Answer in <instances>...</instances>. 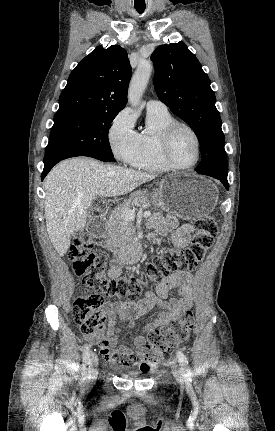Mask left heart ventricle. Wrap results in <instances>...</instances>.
Instances as JSON below:
<instances>
[{
	"instance_id": "obj_1",
	"label": "left heart ventricle",
	"mask_w": 275,
	"mask_h": 431,
	"mask_svg": "<svg viewBox=\"0 0 275 431\" xmlns=\"http://www.w3.org/2000/svg\"><path fill=\"white\" fill-rule=\"evenodd\" d=\"M171 154L173 159L181 165H188L195 160V140L187 130L177 131L172 141Z\"/></svg>"
}]
</instances>
